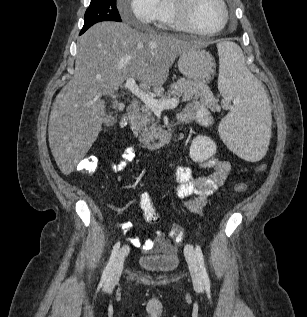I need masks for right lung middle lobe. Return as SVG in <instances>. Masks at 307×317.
Instances as JSON below:
<instances>
[{
	"instance_id": "1",
	"label": "right lung middle lobe",
	"mask_w": 307,
	"mask_h": 317,
	"mask_svg": "<svg viewBox=\"0 0 307 317\" xmlns=\"http://www.w3.org/2000/svg\"><path fill=\"white\" fill-rule=\"evenodd\" d=\"M100 21H121L116 8V0H91L90 6L85 12V23L81 34Z\"/></svg>"
}]
</instances>
